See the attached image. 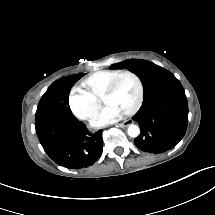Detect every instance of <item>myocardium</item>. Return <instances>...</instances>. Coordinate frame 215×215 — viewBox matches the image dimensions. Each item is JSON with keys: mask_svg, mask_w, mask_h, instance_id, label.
Listing matches in <instances>:
<instances>
[{"mask_svg": "<svg viewBox=\"0 0 215 215\" xmlns=\"http://www.w3.org/2000/svg\"><path fill=\"white\" fill-rule=\"evenodd\" d=\"M122 78L130 79L131 82L133 83V87H134L131 106L126 112L127 115L130 116L134 113V111L136 109L139 108V106H140L139 104H140L141 98H142V84H141L139 77L136 74H134L130 71H121V73L114 75L113 79L107 85L105 92L108 95L111 94L112 89L114 88V86L117 83V80L122 79Z\"/></svg>", "mask_w": 215, "mask_h": 215, "instance_id": "f54148a6", "label": "myocardium"}]
</instances>
